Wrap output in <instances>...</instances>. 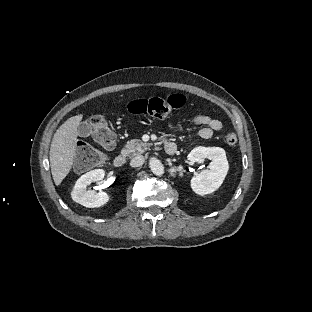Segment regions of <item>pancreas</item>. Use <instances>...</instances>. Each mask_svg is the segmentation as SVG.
<instances>
[{
	"mask_svg": "<svg viewBox=\"0 0 312 312\" xmlns=\"http://www.w3.org/2000/svg\"><path fill=\"white\" fill-rule=\"evenodd\" d=\"M148 149V146L139 139L128 141L121 150L123 156L134 157L143 154Z\"/></svg>",
	"mask_w": 312,
	"mask_h": 312,
	"instance_id": "cf45deb5",
	"label": "pancreas"
}]
</instances>
